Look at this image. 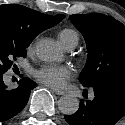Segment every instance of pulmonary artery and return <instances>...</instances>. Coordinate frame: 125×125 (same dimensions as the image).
<instances>
[{"mask_svg": "<svg viewBox=\"0 0 125 125\" xmlns=\"http://www.w3.org/2000/svg\"><path fill=\"white\" fill-rule=\"evenodd\" d=\"M75 46L76 45L71 44V45L67 46L65 49L68 50V51H71V50H73L75 48Z\"/></svg>", "mask_w": 125, "mask_h": 125, "instance_id": "pulmonary-artery-1", "label": "pulmonary artery"}]
</instances>
